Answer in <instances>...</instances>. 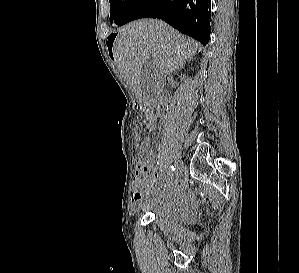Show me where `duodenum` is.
<instances>
[{"label": "duodenum", "mask_w": 299, "mask_h": 273, "mask_svg": "<svg viewBox=\"0 0 299 273\" xmlns=\"http://www.w3.org/2000/svg\"><path fill=\"white\" fill-rule=\"evenodd\" d=\"M157 104H158V107H159L160 110L164 109V97L163 96L160 97Z\"/></svg>", "instance_id": "duodenum-1"}]
</instances>
